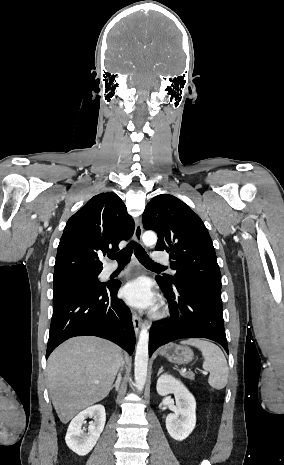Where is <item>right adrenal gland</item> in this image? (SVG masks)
I'll return each mask as SVG.
<instances>
[{"mask_svg":"<svg viewBox=\"0 0 284 465\" xmlns=\"http://www.w3.org/2000/svg\"><path fill=\"white\" fill-rule=\"evenodd\" d=\"M121 381H122V377L120 373H118L117 381H115V385H112L111 389H115V391H119Z\"/></svg>","mask_w":284,"mask_h":465,"instance_id":"obj_1","label":"right adrenal gland"}]
</instances>
